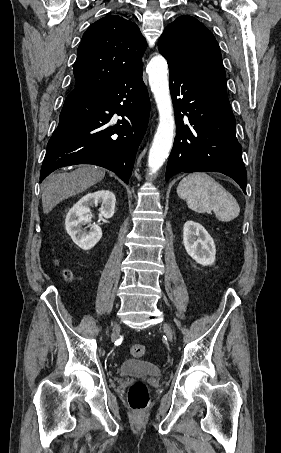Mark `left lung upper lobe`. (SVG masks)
<instances>
[{
	"label": "left lung upper lobe",
	"instance_id": "left-lung-upper-lobe-1",
	"mask_svg": "<svg viewBox=\"0 0 281 453\" xmlns=\"http://www.w3.org/2000/svg\"><path fill=\"white\" fill-rule=\"evenodd\" d=\"M158 49L168 63L188 72L226 76L214 35L192 16H180L169 24Z\"/></svg>",
	"mask_w": 281,
	"mask_h": 453
}]
</instances>
